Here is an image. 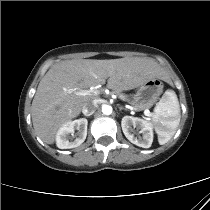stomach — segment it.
<instances>
[{
  "label": "stomach",
  "instance_id": "0dacf381",
  "mask_svg": "<svg viewBox=\"0 0 210 210\" xmlns=\"http://www.w3.org/2000/svg\"><path fill=\"white\" fill-rule=\"evenodd\" d=\"M163 85L159 79H151L140 85L132 96L131 104L137 111L152 107L162 93Z\"/></svg>",
  "mask_w": 210,
  "mask_h": 210
}]
</instances>
